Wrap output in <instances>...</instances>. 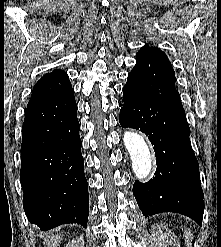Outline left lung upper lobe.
Masks as SVG:
<instances>
[{
    "instance_id": "left-lung-upper-lobe-1",
    "label": "left lung upper lobe",
    "mask_w": 221,
    "mask_h": 247,
    "mask_svg": "<svg viewBox=\"0 0 221 247\" xmlns=\"http://www.w3.org/2000/svg\"><path fill=\"white\" fill-rule=\"evenodd\" d=\"M128 79L137 93L183 109L175 88V74L166 54L157 47L143 46L136 53V65Z\"/></svg>"
}]
</instances>
